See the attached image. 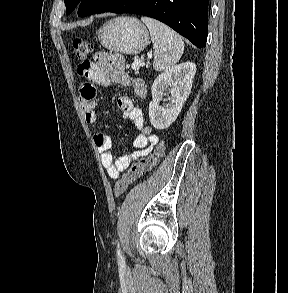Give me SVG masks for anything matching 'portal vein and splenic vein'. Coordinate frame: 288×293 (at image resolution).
<instances>
[{"label":"portal vein and splenic vein","mask_w":288,"mask_h":293,"mask_svg":"<svg viewBox=\"0 0 288 293\" xmlns=\"http://www.w3.org/2000/svg\"><path fill=\"white\" fill-rule=\"evenodd\" d=\"M149 58H150V56H149ZM140 65H142L141 62H135V63L132 64V69L135 70V71L139 70Z\"/></svg>","instance_id":"portal-vein-and-splenic-vein-1"}]
</instances>
